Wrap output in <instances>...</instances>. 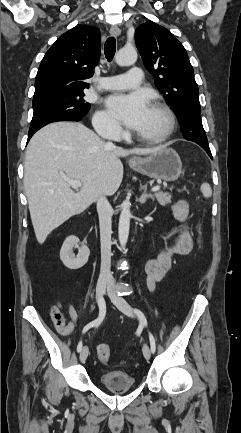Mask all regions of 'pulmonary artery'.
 Here are the masks:
<instances>
[{"mask_svg": "<svg viewBox=\"0 0 241 433\" xmlns=\"http://www.w3.org/2000/svg\"><path fill=\"white\" fill-rule=\"evenodd\" d=\"M143 80V73L138 66H133L128 73L104 77L101 87L105 90H130L138 87Z\"/></svg>", "mask_w": 241, "mask_h": 433, "instance_id": "obj_1", "label": "pulmonary artery"}]
</instances>
